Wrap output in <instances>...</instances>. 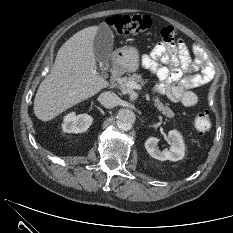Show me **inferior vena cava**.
Wrapping results in <instances>:
<instances>
[{
  "label": "inferior vena cava",
  "instance_id": "602c4592",
  "mask_svg": "<svg viewBox=\"0 0 233 233\" xmlns=\"http://www.w3.org/2000/svg\"><path fill=\"white\" fill-rule=\"evenodd\" d=\"M119 97L110 91H106L100 94L99 102L106 108H113L118 104Z\"/></svg>",
  "mask_w": 233,
  "mask_h": 233
}]
</instances>
